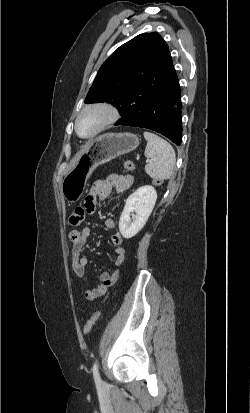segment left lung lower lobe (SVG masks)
Returning a JSON list of instances; mask_svg holds the SVG:
<instances>
[{
  "label": "left lung lower lobe",
  "mask_w": 250,
  "mask_h": 413,
  "mask_svg": "<svg viewBox=\"0 0 250 413\" xmlns=\"http://www.w3.org/2000/svg\"><path fill=\"white\" fill-rule=\"evenodd\" d=\"M171 60V57H170ZM180 85L172 61L166 73L153 82L142 83L120 108L115 125L136 126L156 131L181 144Z\"/></svg>",
  "instance_id": "left-lung-lower-lobe-1"
}]
</instances>
